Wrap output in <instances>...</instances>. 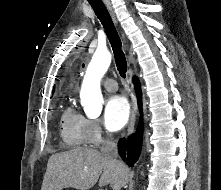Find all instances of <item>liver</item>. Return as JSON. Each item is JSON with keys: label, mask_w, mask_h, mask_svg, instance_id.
<instances>
[{"label": "liver", "mask_w": 221, "mask_h": 190, "mask_svg": "<svg viewBox=\"0 0 221 190\" xmlns=\"http://www.w3.org/2000/svg\"><path fill=\"white\" fill-rule=\"evenodd\" d=\"M98 179L99 186L109 184L120 190L129 180V171L122 162L110 160L96 149L78 147L51 155L41 190H88Z\"/></svg>", "instance_id": "1"}]
</instances>
